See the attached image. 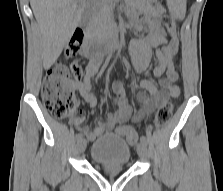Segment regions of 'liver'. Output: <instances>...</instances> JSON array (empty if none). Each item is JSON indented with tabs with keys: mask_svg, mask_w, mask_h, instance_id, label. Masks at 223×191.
<instances>
[{
	"mask_svg": "<svg viewBox=\"0 0 223 191\" xmlns=\"http://www.w3.org/2000/svg\"><path fill=\"white\" fill-rule=\"evenodd\" d=\"M41 31L43 66L50 68L77 28L85 0H30Z\"/></svg>",
	"mask_w": 223,
	"mask_h": 191,
	"instance_id": "liver-1",
	"label": "liver"
}]
</instances>
